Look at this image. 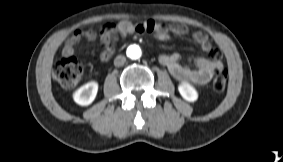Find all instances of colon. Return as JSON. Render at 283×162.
<instances>
[{
	"label": "colon",
	"mask_w": 283,
	"mask_h": 162,
	"mask_svg": "<svg viewBox=\"0 0 283 162\" xmlns=\"http://www.w3.org/2000/svg\"><path fill=\"white\" fill-rule=\"evenodd\" d=\"M82 64L74 56H65L55 65L53 74L64 88H73L82 75ZM227 83V71L223 68L215 71L212 87L216 92L224 91Z\"/></svg>",
	"instance_id": "obj_1"
}]
</instances>
